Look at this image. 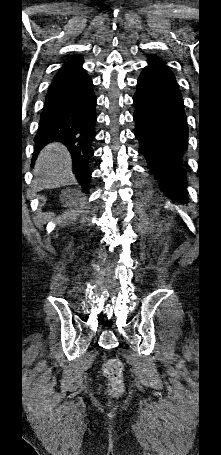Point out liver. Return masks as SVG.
Instances as JSON below:
<instances>
[{
	"label": "liver",
	"mask_w": 221,
	"mask_h": 455,
	"mask_svg": "<svg viewBox=\"0 0 221 455\" xmlns=\"http://www.w3.org/2000/svg\"><path fill=\"white\" fill-rule=\"evenodd\" d=\"M37 189H52L69 183L72 178L71 158L60 143H50L40 152L33 170Z\"/></svg>",
	"instance_id": "liver-1"
}]
</instances>
